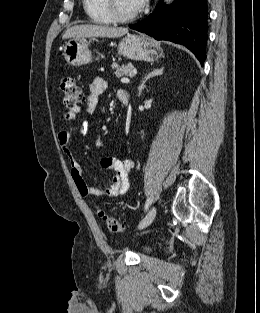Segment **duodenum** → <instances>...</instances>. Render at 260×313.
Segmentation results:
<instances>
[{"label": "duodenum", "mask_w": 260, "mask_h": 313, "mask_svg": "<svg viewBox=\"0 0 260 313\" xmlns=\"http://www.w3.org/2000/svg\"><path fill=\"white\" fill-rule=\"evenodd\" d=\"M120 101L122 102L123 105H128L129 100L125 97L121 98Z\"/></svg>", "instance_id": "obj_1"}]
</instances>
